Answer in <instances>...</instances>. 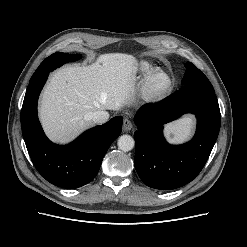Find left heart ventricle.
I'll return each mask as SVG.
<instances>
[{
  "mask_svg": "<svg viewBox=\"0 0 247 247\" xmlns=\"http://www.w3.org/2000/svg\"><path fill=\"white\" fill-rule=\"evenodd\" d=\"M167 86L168 81L163 76H156L151 83L152 90L155 92H161L166 89Z\"/></svg>",
  "mask_w": 247,
  "mask_h": 247,
  "instance_id": "obj_1",
  "label": "left heart ventricle"
}]
</instances>
